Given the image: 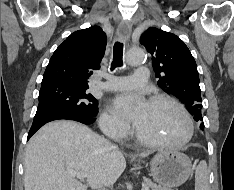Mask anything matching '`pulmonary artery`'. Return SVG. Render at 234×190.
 I'll return each mask as SVG.
<instances>
[{
  "mask_svg": "<svg viewBox=\"0 0 234 190\" xmlns=\"http://www.w3.org/2000/svg\"><path fill=\"white\" fill-rule=\"evenodd\" d=\"M149 70L146 66H138L133 76H107L106 82L98 86L111 91H127L138 88L148 82Z\"/></svg>",
  "mask_w": 234,
  "mask_h": 190,
  "instance_id": "e3ab8cb5",
  "label": "pulmonary artery"
}]
</instances>
